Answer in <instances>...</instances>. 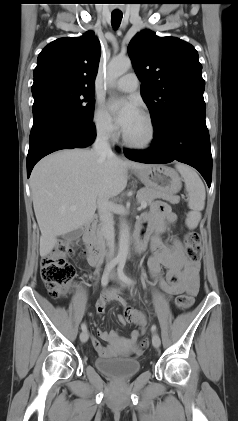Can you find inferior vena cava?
<instances>
[{"mask_svg":"<svg viewBox=\"0 0 238 421\" xmlns=\"http://www.w3.org/2000/svg\"><path fill=\"white\" fill-rule=\"evenodd\" d=\"M109 129L101 127L97 131V136L93 144V151L100 157L114 155L109 144ZM98 213L101 221V233L106 239L109 248L108 256L111 259L114 252V221L110 208L109 199L100 197L97 202Z\"/></svg>","mask_w":238,"mask_h":421,"instance_id":"obj_1","label":"inferior vena cava"}]
</instances>
